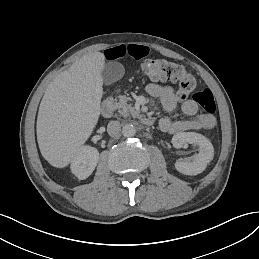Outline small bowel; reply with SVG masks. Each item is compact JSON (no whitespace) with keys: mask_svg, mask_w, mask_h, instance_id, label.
Masks as SVG:
<instances>
[{"mask_svg":"<svg viewBox=\"0 0 259 259\" xmlns=\"http://www.w3.org/2000/svg\"><path fill=\"white\" fill-rule=\"evenodd\" d=\"M148 53L149 48L145 45L120 44L106 49L104 57L108 61H116L124 57L139 60L146 57ZM147 91L151 96L159 99L163 108L168 112L175 111L178 102L181 100L171 86L151 83L148 85ZM180 110L188 118L183 120H172L168 117L161 118L158 124L163 132L176 134L192 130H209L216 124V119L211 114L198 113V105L193 99L183 100Z\"/></svg>","mask_w":259,"mask_h":259,"instance_id":"small-bowel-1","label":"small bowel"}]
</instances>
